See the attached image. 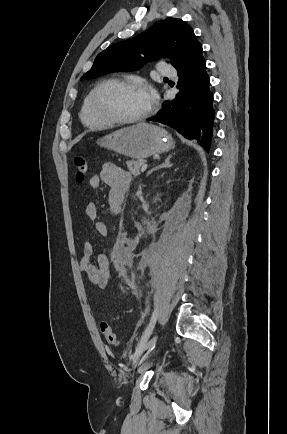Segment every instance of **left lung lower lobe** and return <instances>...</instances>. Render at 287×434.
Masks as SVG:
<instances>
[{
	"instance_id": "0a47b994",
	"label": "left lung lower lobe",
	"mask_w": 287,
	"mask_h": 434,
	"mask_svg": "<svg viewBox=\"0 0 287 434\" xmlns=\"http://www.w3.org/2000/svg\"><path fill=\"white\" fill-rule=\"evenodd\" d=\"M180 93L171 101H165L160 110L148 121L168 125L185 138L196 140L206 151L213 139L214 110L206 61L202 55L190 59L177 69Z\"/></svg>"
}]
</instances>
